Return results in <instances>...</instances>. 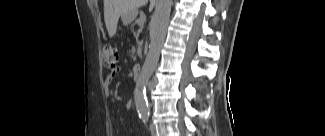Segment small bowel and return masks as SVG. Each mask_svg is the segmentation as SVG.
<instances>
[{"instance_id": "1", "label": "small bowel", "mask_w": 325, "mask_h": 136, "mask_svg": "<svg viewBox=\"0 0 325 136\" xmlns=\"http://www.w3.org/2000/svg\"><path fill=\"white\" fill-rule=\"evenodd\" d=\"M115 75H116V73L113 72V73L109 74L108 77L105 80V83L104 84H105V88H106V90L108 92H109V88H110V86H111V84H112V82H113V80L115 78Z\"/></svg>"}]
</instances>
